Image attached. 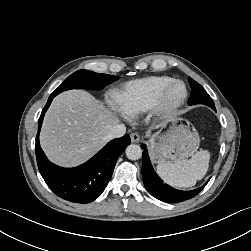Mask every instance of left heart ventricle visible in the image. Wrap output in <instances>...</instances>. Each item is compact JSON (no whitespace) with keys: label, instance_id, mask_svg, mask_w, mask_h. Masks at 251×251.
<instances>
[{"label":"left heart ventricle","instance_id":"obj_1","mask_svg":"<svg viewBox=\"0 0 251 251\" xmlns=\"http://www.w3.org/2000/svg\"><path fill=\"white\" fill-rule=\"evenodd\" d=\"M183 94V88L180 85L174 86L168 94V100L173 102L178 100Z\"/></svg>","mask_w":251,"mask_h":251}]
</instances>
